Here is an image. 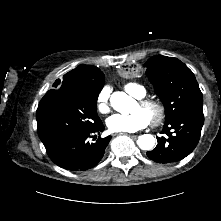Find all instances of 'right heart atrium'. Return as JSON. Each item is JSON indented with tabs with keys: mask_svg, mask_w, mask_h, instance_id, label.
<instances>
[{
	"mask_svg": "<svg viewBox=\"0 0 221 221\" xmlns=\"http://www.w3.org/2000/svg\"><path fill=\"white\" fill-rule=\"evenodd\" d=\"M110 100V89L107 86H104L100 89L96 98V106L99 112L106 114L110 110L109 105Z\"/></svg>",
	"mask_w": 221,
	"mask_h": 221,
	"instance_id": "d8ad5b80",
	"label": "right heart atrium"
}]
</instances>
